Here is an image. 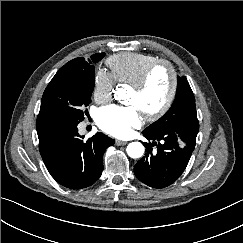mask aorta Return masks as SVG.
Returning a JSON list of instances; mask_svg holds the SVG:
<instances>
[{
	"label": "aorta",
	"instance_id": "aorta-1",
	"mask_svg": "<svg viewBox=\"0 0 243 243\" xmlns=\"http://www.w3.org/2000/svg\"><path fill=\"white\" fill-rule=\"evenodd\" d=\"M115 98L117 100H121L125 98L124 91L122 89H119L115 91ZM144 146L140 142H131L128 144L126 151L129 157L131 158H140L144 154Z\"/></svg>",
	"mask_w": 243,
	"mask_h": 243
}]
</instances>
